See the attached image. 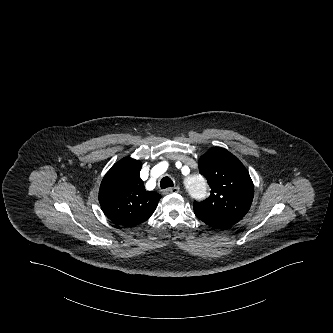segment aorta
<instances>
[{
    "label": "aorta",
    "instance_id": "762f6f07",
    "mask_svg": "<svg viewBox=\"0 0 333 333\" xmlns=\"http://www.w3.org/2000/svg\"><path fill=\"white\" fill-rule=\"evenodd\" d=\"M187 189L189 195L197 201H203L209 194L208 183L204 175L194 172L188 179Z\"/></svg>",
    "mask_w": 333,
    "mask_h": 333
}]
</instances>
